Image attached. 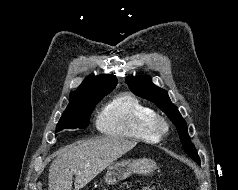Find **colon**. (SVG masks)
Returning <instances> with one entry per match:
<instances>
[{
    "instance_id": "5ec220e1",
    "label": "colon",
    "mask_w": 238,
    "mask_h": 190,
    "mask_svg": "<svg viewBox=\"0 0 238 190\" xmlns=\"http://www.w3.org/2000/svg\"><path fill=\"white\" fill-rule=\"evenodd\" d=\"M135 190H157V189L154 187H142V188H137Z\"/></svg>"
}]
</instances>
